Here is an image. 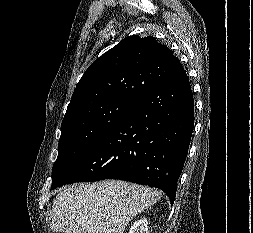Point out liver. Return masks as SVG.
Masks as SVG:
<instances>
[{
  "label": "liver",
  "instance_id": "liver-1",
  "mask_svg": "<svg viewBox=\"0 0 253 233\" xmlns=\"http://www.w3.org/2000/svg\"><path fill=\"white\" fill-rule=\"evenodd\" d=\"M161 193L119 180L65 188L53 201L51 228L60 233H124L134 216Z\"/></svg>",
  "mask_w": 253,
  "mask_h": 233
}]
</instances>
